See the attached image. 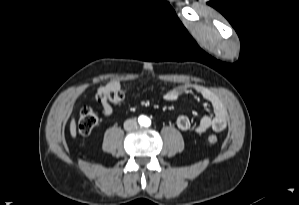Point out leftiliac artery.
<instances>
[{
  "instance_id": "1",
  "label": "left iliac artery",
  "mask_w": 299,
  "mask_h": 205,
  "mask_svg": "<svg viewBox=\"0 0 299 205\" xmlns=\"http://www.w3.org/2000/svg\"><path fill=\"white\" fill-rule=\"evenodd\" d=\"M150 124V122H147V125H149Z\"/></svg>"
}]
</instances>
